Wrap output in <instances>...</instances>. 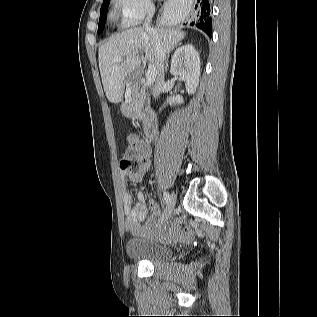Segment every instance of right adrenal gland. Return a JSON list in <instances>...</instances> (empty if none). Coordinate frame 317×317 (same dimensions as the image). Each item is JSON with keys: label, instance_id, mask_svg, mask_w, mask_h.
Wrapping results in <instances>:
<instances>
[{"label": "right adrenal gland", "instance_id": "obj_1", "mask_svg": "<svg viewBox=\"0 0 317 317\" xmlns=\"http://www.w3.org/2000/svg\"><path fill=\"white\" fill-rule=\"evenodd\" d=\"M178 45H181V43H179ZM178 45H176L175 47H177ZM172 49H174V47ZM169 54H170V51L168 52V58H169ZM168 58H167V61H166L165 71H167V69H168Z\"/></svg>", "mask_w": 317, "mask_h": 317}]
</instances>
